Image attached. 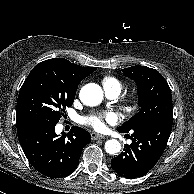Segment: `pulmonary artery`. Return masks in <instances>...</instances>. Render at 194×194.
<instances>
[{
	"mask_svg": "<svg viewBox=\"0 0 194 194\" xmlns=\"http://www.w3.org/2000/svg\"><path fill=\"white\" fill-rule=\"evenodd\" d=\"M106 95L108 98L110 99H117L119 94L117 92H109V91H106Z\"/></svg>",
	"mask_w": 194,
	"mask_h": 194,
	"instance_id": "pulmonary-artery-1",
	"label": "pulmonary artery"
}]
</instances>
